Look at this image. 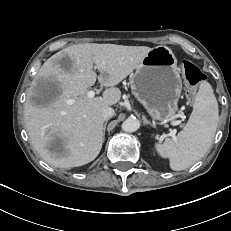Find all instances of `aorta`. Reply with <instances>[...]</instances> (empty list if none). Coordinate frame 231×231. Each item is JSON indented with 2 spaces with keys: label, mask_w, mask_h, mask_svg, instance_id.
Returning a JSON list of instances; mask_svg holds the SVG:
<instances>
[{
  "label": "aorta",
  "mask_w": 231,
  "mask_h": 231,
  "mask_svg": "<svg viewBox=\"0 0 231 231\" xmlns=\"http://www.w3.org/2000/svg\"><path fill=\"white\" fill-rule=\"evenodd\" d=\"M122 130L128 133L135 132L140 127V121L136 118H128L122 123Z\"/></svg>",
  "instance_id": "aorta-1"
}]
</instances>
